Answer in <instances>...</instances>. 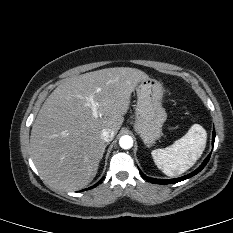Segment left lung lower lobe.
<instances>
[{
	"label": "left lung lower lobe",
	"mask_w": 233,
	"mask_h": 233,
	"mask_svg": "<svg viewBox=\"0 0 233 233\" xmlns=\"http://www.w3.org/2000/svg\"><path fill=\"white\" fill-rule=\"evenodd\" d=\"M214 141H215V130L213 131V141H212L213 145H214ZM210 155L204 160V162L202 163V165L198 169H196L194 172H192V173H190V174H188L186 176H183V177H180V178H176V179H167V180H165V179H154V178H150V177L145 176L140 170L139 171H140L141 176L145 180H147V181H149L151 183H155V184H172V183H177V182H180V181H183L185 179H188V178L196 175L197 173H199L205 167V165L207 164V162L209 161Z\"/></svg>",
	"instance_id": "obj_1"
}]
</instances>
